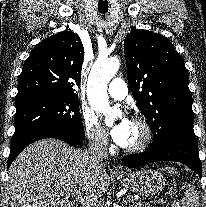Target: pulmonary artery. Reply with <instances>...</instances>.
Instances as JSON below:
<instances>
[{"label": "pulmonary artery", "mask_w": 206, "mask_h": 207, "mask_svg": "<svg viewBox=\"0 0 206 207\" xmlns=\"http://www.w3.org/2000/svg\"><path fill=\"white\" fill-rule=\"evenodd\" d=\"M128 93V88L126 83L120 78H114L108 86V94L116 99H124Z\"/></svg>", "instance_id": "obj_1"}]
</instances>
